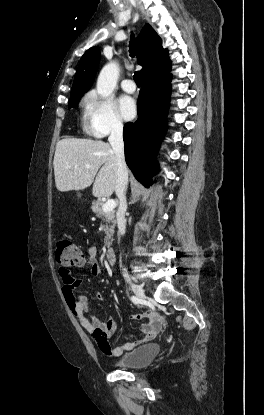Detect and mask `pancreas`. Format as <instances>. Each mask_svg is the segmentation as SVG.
<instances>
[{
    "label": "pancreas",
    "mask_w": 264,
    "mask_h": 415,
    "mask_svg": "<svg viewBox=\"0 0 264 415\" xmlns=\"http://www.w3.org/2000/svg\"><path fill=\"white\" fill-rule=\"evenodd\" d=\"M103 207V202L101 201H93L92 202V211L93 213L98 216L99 218H101L103 220V222L106 223L105 227V233H106V237L104 239V243L107 247H109L111 245V240L113 238V234H114V228H115V224H116V220H115V212L114 211H110V212H103L102 210Z\"/></svg>",
    "instance_id": "1"
}]
</instances>
